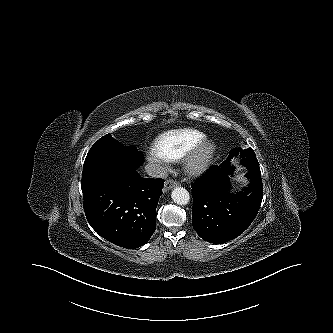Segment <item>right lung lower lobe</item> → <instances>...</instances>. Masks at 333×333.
Listing matches in <instances>:
<instances>
[{
	"label": "right lung lower lobe",
	"instance_id": "98d812e1",
	"mask_svg": "<svg viewBox=\"0 0 333 333\" xmlns=\"http://www.w3.org/2000/svg\"><path fill=\"white\" fill-rule=\"evenodd\" d=\"M164 180L142 178L135 168L82 180L84 211L91 227L115 245L134 249L150 239Z\"/></svg>",
	"mask_w": 333,
	"mask_h": 333
}]
</instances>
